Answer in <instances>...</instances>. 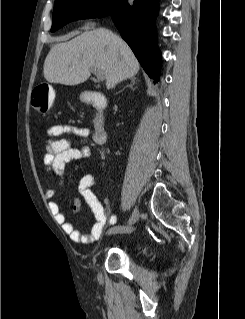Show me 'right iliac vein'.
I'll use <instances>...</instances> for the list:
<instances>
[{
	"label": "right iliac vein",
	"mask_w": 245,
	"mask_h": 319,
	"mask_svg": "<svg viewBox=\"0 0 245 319\" xmlns=\"http://www.w3.org/2000/svg\"><path fill=\"white\" fill-rule=\"evenodd\" d=\"M139 216H140V213H139V209L138 208H135L134 209V211H133V213H132V216H131V218H130V220H129V222H128V232H129V229L130 230H132V228H131V225H133V224H135L137 221H138V219H139ZM127 231H124V232H119V233H126ZM131 232V231H130ZM109 234V233H108ZM99 278H101V275L99 274Z\"/></svg>",
	"instance_id": "right-iliac-vein-1"
}]
</instances>
